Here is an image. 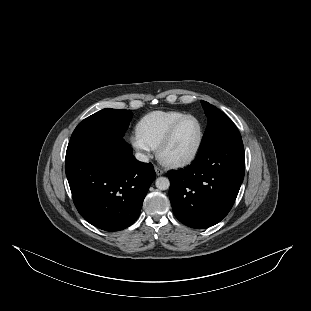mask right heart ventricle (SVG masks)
I'll list each match as a JSON object with an SVG mask.
<instances>
[{
    "label": "right heart ventricle",
    "mask_w": 311,
    "mask_h": 311,
    "mask_svg": "<svg viewBox=\"0 0 311 311\" xmlns=\"http://www.w3.org/2000/svg\"><path fill=\"white\" fill-rule=\"evenodd\" d=\"M187 114L179 111L156 110L142 116L135 124V134L145 144L157 149L173 124Z\"/></svg>",
    "instance_id": "right-heart-ventricle-1"
}]
</instances>
